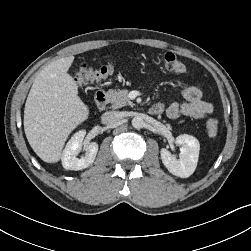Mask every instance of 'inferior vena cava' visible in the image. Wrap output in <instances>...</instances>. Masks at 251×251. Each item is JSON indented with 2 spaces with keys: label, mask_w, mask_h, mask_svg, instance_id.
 I'll use <instances>...</instances> for the list:
<instances>
[{
  "label": "inferior vena cava",
  "mask_w": 251,
  "mask_h": 251,
  "mask_svg": "<svg viewBox=\"0 0 251 251\" xmlns=\"http://www.w3.org/2000/svg\"><path fill=\"white\" fill-rule=\"evenodd\" d=\"M120 117L118 115L117 112L115 111H108V112H105L102 116H101V122L103 124H106V125H112V124H115L119 121Z\"/></svg>",
  "instance_id": "602c4592"
}]
</instances>
